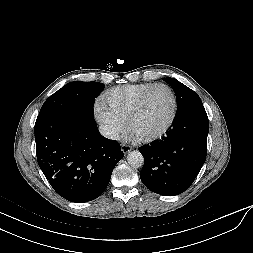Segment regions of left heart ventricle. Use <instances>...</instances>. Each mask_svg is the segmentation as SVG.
Masks as SVG:
<instances>
[{
    "label": "left heart ventricle",
    "instance_id": "obj_1",
    "mask_svg": "<svg viewBox=\"0 0 253 253\" xmlns=\"http://www.w3.org/2000/svg\"><path fill=\"white\" fill-rule=\"evenodd\" d=\"M173 109L170 92L165 87L152 90L134 121L131 131L136 135H147L161 130L169 121Z\"/></svg>",
    "mask_w": 253,
    "mask_h": 253
}]
</instances>
